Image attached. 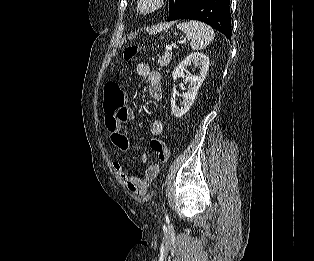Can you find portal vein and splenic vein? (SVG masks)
I'll return each mask as SVG.
<instances>
[{
  "label": "portal vein and splenic vein",
  "instance_id": "1",
  "mask_svg": "<svg viewBox=\"0 0 314 261\" xmlns=\"http://www.w3.org/2000/svg\"><path fill=\"white\" fill-rule=\"evenodd\" d=\"M166 50H172V45L166 46Z\"/></svg>",
  "mask_w": 314,
  "mask_h": 261
}]
</instances>
